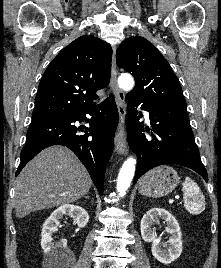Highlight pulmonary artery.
I'll return each instance as SVG.
<instances>
[{"label": "pulmonary artery", "mask_w": 221, "mask_h": 268, "mask_svg": "<svg viewBox=\"0 0 221 268\" xmlns=\"http://www.w3.org/2000/svg\"><path fill=\"white\" fill-rule=\"evenodd\" d=\"M145 114H146V116L148 115V113H147V112H145Z\"/></svg>", "instance_id": "obj_1"}]
</instances>
